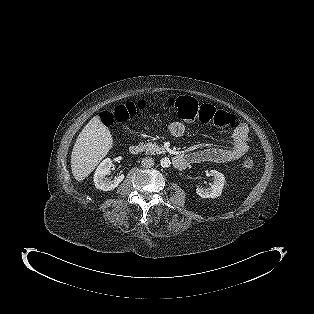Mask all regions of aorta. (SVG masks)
Here are the masks:
<instances>
[{
	"mask_svg": "<svg viewBox=\"0 0 314 314\" xmlns=\"http://www.w3.org/2000/svg\"><path fill=\"white\" fill-rule=\"evenodd\" d=\"M160 164H161V166L162 167H169L170 166V160H169V158H167V157H164V158H162L161 159V161H160Z\"/></svg>",
	"mask_w": 314,
	"mask_h": 314,
	"instance_id": "aorta-1",
	"label": "aorta"
}]
</instances>
